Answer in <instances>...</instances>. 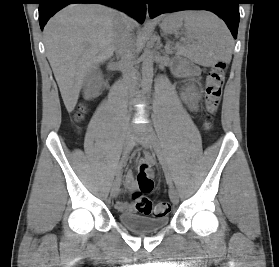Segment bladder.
<instances>
[{
    "mask_svg": "<svg viewBox=\"0 0 279 267\" xmlns=\"http://www.w3.org/2000/svg\"><path fill=\"white\" fill-rule=\"evenodd\" d=\"M118 218L123 226L136 232H154L168 224L167 216L149 217L134 212H123Z\"/></svg>",
    "mask_w": 279,
    "mask_h": 267,
    "instance_id": "obj_1",
    "label": "bladder"
}]
</instances>
